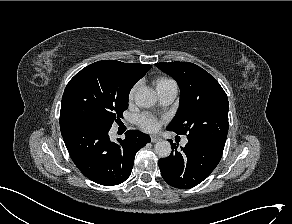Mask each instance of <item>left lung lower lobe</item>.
<instances>
[{
	"label": "left lung lower lobe",
	"instance_id": "0a47b994",
	"mask_svg": "<svg viewBox=\"0 0 292 224\" xmlns=\"http://www.w3.org/2000/svg\"><path fill=\"white\" fill-rule=\"evenodd\" d=\"M173 152L158 164L163 179L170 186L185 189L193 187L206 179L218 165L224 147L188 139L182 152L169 140Z\"/></svg>",
	"mask_w": 292,
	"mask_h": 224
}]
</instances>
